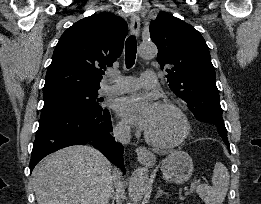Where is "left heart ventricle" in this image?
<instances>
[{
	"mask_svg": "<svg viewBox=\"0 0 261 204\" xmlns=\"http://www.w3.org/2000/svg\"><path fill=\"white\" fill-rule=\"evenodd\" d=\"M146 132L155 140L170 142L182 133V122L171 109L155 107L150 126Z\"/></svg>",
	"mask_w": 261,
	"mask_h": 204,
	"instance_id": "b2bd125f",
	"label": "left heart ventricle"
}]
</instances>
